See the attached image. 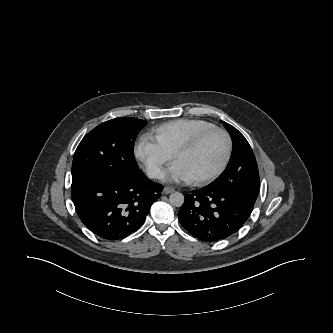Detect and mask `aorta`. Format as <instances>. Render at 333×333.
<instances>
[{"instance_id": "762f6f07", "label": "aorta", "mask_w": 333, "mask_h": 333, "mask_svg": "<svg viewBox=\"0 0 333 333\" xmlns=\"http://www.w3.org/2000/svg\"><path fill=\"white\" fill-rule=\"evenodd\" d=\"M169 202L172 206L180 207L184 203V196L180 192H174L170 195Z\"/></svg>"}]
</instances>
